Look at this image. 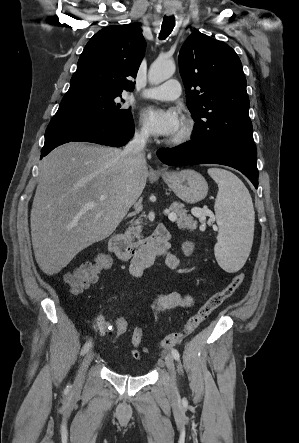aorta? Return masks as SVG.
Wrapping results in <instances>:
<instances>
[{"mask_svg":"<svg viewBox=\"0 0 299 443\" xmlns=\"http://www.w3.org/2000/svg\"><path fill=\"white\" fill-rule=\"evenodd\" d=\"M176 70L175 63L170 59L158 57L150 66L148 79L152 85H157L169 79Z\"/></svg>","mask_w":299,"mask_h":443,"instance_id":"obj_1","label":"aorta"}]
</instances>
